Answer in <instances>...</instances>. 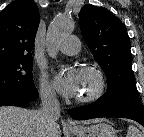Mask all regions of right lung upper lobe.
<instances>
[{
  "mask_svg": "<svg viewBox=\"0 0 144 137\" xmlns=\"http://www.w3.org/2000/svg\"><path fill=\"white\" fill-rule=\"evenodd\" d=\"M39 22L33 0H16L0 12V63L31 56Z\"/></svg>",
  "mask_w": 144,
  "mask_h": 137,
  "instance_id": "right-lung-upper-lobe-1",
  "label": "right lung upper lobe"
}]
</instances>
